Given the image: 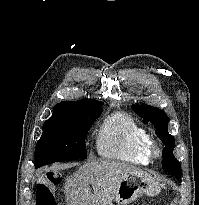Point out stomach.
<instances>
[{"instance_id":"0dacf381","label":"stomach","mask_w":199,"mask_h":205,"mask_svg":"<svg viewBox=\"0 0 199 205\" xmlns=\"http://www.w3.org/2000/svg\"><path fill=\"white\" fill-rule=\"evenodd\" d=\"M160 190V184L151 175L129 174L120 182L114 200L118 205H128L143 194L156 196Z\"/></svg>"}]
</instances>
